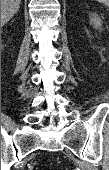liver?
Returning <instances> with one entry per match:
<instances>
[{
	"instance_id": "6515ba94",
	"label": "liver",
	"mask_w": 109,
	"mask_h": 170,
	"mask_svg": "<svg viewBox=\"0 0 109 170\" xmlns=\"http://www.w3.org/2000/svg\"><path fill=\"white\" fill-rule=\"evenodd\" d=\"M21 0H1V24L5 25L19 10Z\"/></svg>"
}]
</instances>
